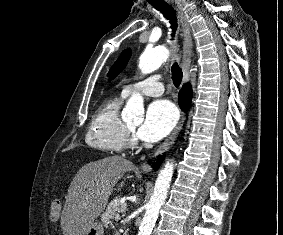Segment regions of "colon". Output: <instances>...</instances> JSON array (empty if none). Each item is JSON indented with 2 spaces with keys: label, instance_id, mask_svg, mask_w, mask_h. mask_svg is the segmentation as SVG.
I'll use <instances>...</instances> for the list:
<instances>
[{
  "label": "colon",
  "instance_id": "1",
  "mask_svg": "<svg viewBox=\"0 0 283 235\" xmlns=\"http://www.w3.org/2000/svg\"><path fill=\"white\" fill-rule=\"evenodd\" d=\"M61 210V200L60 199H55L53 200L50 208V214L53 218H57L60 214Z\"/></svg>",
  "mask_w": 283,
  "mask_h": 235
}]
</instances>
